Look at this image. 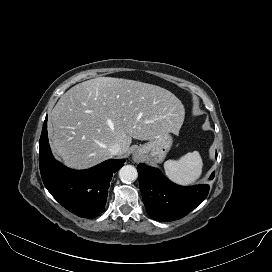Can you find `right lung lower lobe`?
<instances>
[{"label":"right lung lower lobe","instance_id":"98d812e1","mask_svg":"<svg viewBox=\"0 0 272 272\" xmlns=\"http://www.w3.org/2000/svg\"><path fill=\"white\" fill-rule=\"evenodd\" d=\"M124 162L107 160L84 171L61 165L51 154L45 119L39 143L41 177L51 195L75 215L94 218L104 211L112 175Z\"/></svg>","mask_w":272,"mask_h":272}]
</instances>
